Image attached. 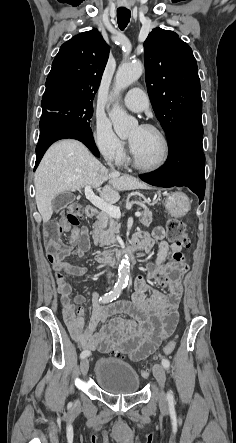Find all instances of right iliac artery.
I'll list each match as a JSON object with an SVG mask.
<instances>
[{"label": "right iliac artery", "mask_w": 236, "mask_h": 443, "mask_svg": "<svg viewBox=\"0 0 236 443\" xmlns=\"http://www.w3.org/2000/svg\"><path fill=\"white\" fill-rule=\"evenodd\" d=\"M122 290H123V287L121 285H116L113 290H111L109 293H106L105 295L100 297L99 302L104 304V303H109V302H112L113 300H116L120 296ZM89 355H90L89 351L83 350L80 354V358L84 359V358L88 357Z\"/></svg>", "instance_id": "82829eb1"}]
</instances>
